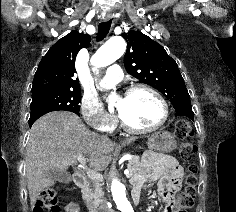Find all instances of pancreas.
Here are the masks:
<instances>
[{
    "instance_id": "1",
    "label": "pancreas",
    "mask_w": 236,
    "mask_h": 212,
    "mask_svg": "<svg viewBox=\"0 0 236 212\" xmlns=\"http://www.w3.org/2000/svg\"><path fill=\"white\" fill-rule=\"evenodd\" d=\"M127 168L130 171L131 176L136 174L140 170L139 157L133 156L129 160ZM84 196L89 203H91L95 208H98L99 205L102 203V196H103L102 184L100 183V181L97 180L93 181L92 188L86 190Z\"/></svg>"
}]
</instances>
